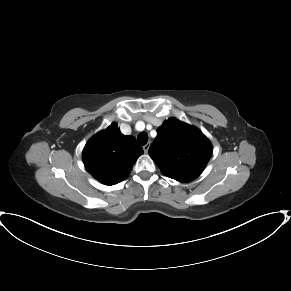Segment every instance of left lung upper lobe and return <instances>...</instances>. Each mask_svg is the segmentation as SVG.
Listing matches in <instances>:
<instances>
[{
  "mask_svg": "<svg viewBox=\"0 0 291 291\" xmlns=\"http://www.w3.org/2000/svg\"><path fill=\"white\" fill-rule=\"evenodd\" d=\"M149 155L165 176L184 183L203 172L211 158L212 145L196 127L170 118L157 129Z\"/></svg>",
  "mask_w": 291,
  "mask_h": 291,
  "instance_id": "5c2ea615",
  "label": "left lung upper lobe"
}]
</instances>
